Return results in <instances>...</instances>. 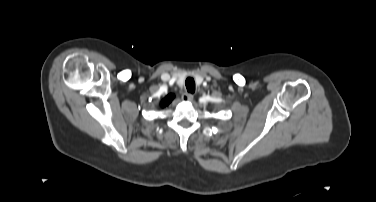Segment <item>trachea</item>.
Here are the masks:
<instances>
[{
	"instance_id": "trachea-1",
	"label": "trachea",
	"mask_w": 376,
	"mask_h": 202,
	"mask_svg": "<svg viewBox=\"0 0 376 202\" xmlns=\"http://www.w3.org/2000/svg\"><path fill=\"white\" fill-rule=\"evenodd\" d=\"M186 89L189 93L195 92V81L193 78H187L185 81Z\"/></svg>"
}]
</instances>
